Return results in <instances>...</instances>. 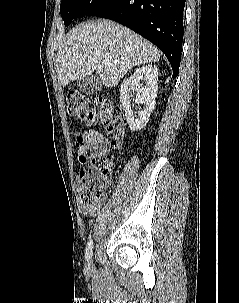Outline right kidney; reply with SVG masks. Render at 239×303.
Segmentation results:
<instances>
[{
	"label": "right kidney",
	"instance_id": "ca27d5eb",
	"mask_svg": "<svg viewBox=\"0 0 239 303\" xmlns=\"http://www.w3.org/2000/svg\"><path fill=\"white\" fill-rule=\"evenodd\" d=\"M144 79L145 85L140 84ZM136 92V104H144V109L134 114L131 108L130 92ZM158 93V69L153 65H143L133 75L123 81L120 88V102L125 110V117L132 131L143 129L155 107Z\"/></svg>",
	"mask_w": 239,
	"mask_h": 303
}]
</instances>
